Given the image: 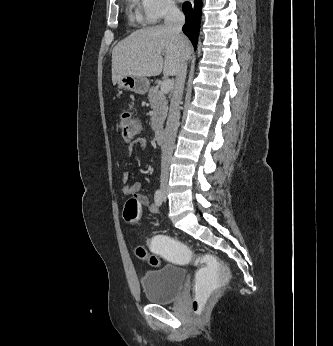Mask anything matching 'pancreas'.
Returning <instances> with one entry per match:
<instances>
[{
    "mask_svg": "<svg viewBox=\"0 0 333 346\" xmlns=\"http://www.w3.org/2000/svg\"><path fill=\"white\" fill-rule=\"evenodd\" d=\"M148 100L152 108L151 126L153 131L157 133L163 128L168 110V101L166 96L159 92L158 86L150 88Z\"/></svg>",
    "mask_w": 333,
    "mask_h": 346,
    "instance_id": "pancreas-1",
    "label": "pancreas"
}]
</instances>
